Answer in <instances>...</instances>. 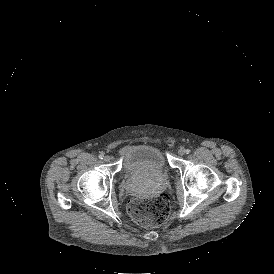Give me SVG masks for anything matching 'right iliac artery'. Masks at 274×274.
<instances>
[{
  "mask_svg": "<svg viewBox=\"0 0 274 274\" xmlns=\"http://www.w3.org/2000/svg\"><path fill=\"white\" fill-rule=\"evenodd\" d=\"M98 157H99V159H103V158H104V155H103V154H100Z\"/></svg>",
  "mask_w": 274,
  "mask_h": 274,
  "instance_id": "obj_1",
  "label": "right iliac artery"
}]
</instances>
